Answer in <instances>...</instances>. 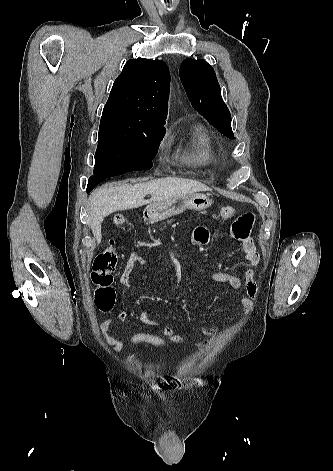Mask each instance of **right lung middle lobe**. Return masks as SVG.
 <instances>
[{
    "instance_id": "dd1d6c3e",
    "label": "right lung middle lobe",
    "mask_w": 333,
    "mask_h": 471,
    "mask_svg": "<svg viewBox=\"0 0 333 471\" xmlns=\"http://www.w3.org/2000/svg\"><path fill=\"white\" fill-rule=\"evenodd\" d=\"M164 133V124L101 119L93 177L149 170Z\"/></svg>"
}]
</instances>
